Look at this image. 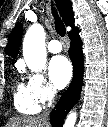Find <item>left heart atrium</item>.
Masks as SVG:
<instances>
[{
	"instance_id": "39dd6f15",
	"label": "left heart atrium",
	"mask_w": 108,
	"mask_h": 127,
	"mask_svg": "<svg viewBox=\"0 0 108 127\" xmlns=\"http://www.w3.org/2000/svg\"><path fill=\"white\" fill-rule=\"evenodd\" d=\"M73 69L69 60L63 56L54 57L49 64V76L55 87L64 88L71 80Z\"/></svg>"
}]
</instances>
